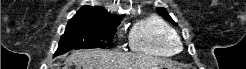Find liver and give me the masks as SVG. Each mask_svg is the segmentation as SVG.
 I'll list each match as a JSON object with an SVG mask.
<instances>
[{
	"label": "liver",
	"mask_w": 246,
	"mask_h": 69,
	"mask_svg": "<svg viewBox=\"0 0 246 69\" xmlns=\"http://www.w3.org/2000/svg\"><path fill=\"white\" fill-rule=\"evenodd\" d=\"M74 63L77 69H149L165 64L161 59L151 56L93 49L74 51L65 61L63 69Z\"/></svg>",
	"instance_id": "6515ba94"
}]
</instances>
